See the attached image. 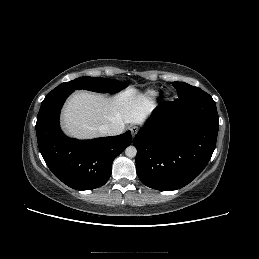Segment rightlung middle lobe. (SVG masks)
Listing matches in <instances>:
<instances>
[{"instance_id": "1", "label": "right lung middle lobe", "mask_w": 259, "mask_h": 259, "mask_svg": "<svg viewBox=\"0 0 259 259\" xmlns=\"http://www.w3.org/2000/svg\"><path fill=\"white\" fill-rule=\"evenodd\" d=\"M127 84L107 78L101 77H80L75 80L64 82L53 89L47 96L61 92L74 90H90L95 92L116 93L125 88Z\"/></svg>"}]
</instances>
